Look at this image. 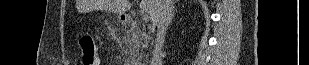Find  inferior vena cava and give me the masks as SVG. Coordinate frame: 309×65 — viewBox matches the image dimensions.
<instances>
[{
    "label": "inferior vena cava",
    "mask_w": 309,
    "mask_h": 65,
    "mask_svg": "<svg viewBox=\"0 0 309 65\" xmlns=\"http://www.w3.org/2000/svg\"><path fill=\"white\" fill-rule=\"evenodd\" d=\"M171 12L172 7L170 4H166L164 10L160 14V17L156 23L157 26V36L155 39L154 51L153 56L150 61V65H162V56H163V45H164V38L166 34L167 27L171 22Z\"/></svg>",
    "instance_id": "602c4592"
}]
</instances>
